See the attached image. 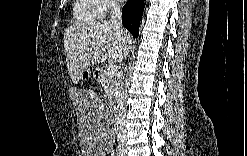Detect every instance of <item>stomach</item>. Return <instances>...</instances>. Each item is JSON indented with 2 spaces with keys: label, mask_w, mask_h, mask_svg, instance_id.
Instances as JSON below:
<instances>
[{
  "label": "stomach",
  "mask_w": 247,
  "mask_h": 156,
  "mask_svg": "<svg viewBox=\"0 0 247 156\" xmlns=\"http://www.w3.org/2000/svg\"><path fill=\"white\" fill-rule=\"evenodd\" d=\"M90 76V71L88 69H86L83 74H82V78H87Z\"/></svg>",
  "instance_id": "stomach-1"
}]
</instances>
